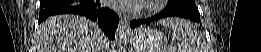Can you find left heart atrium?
<instances>
[{
  "label": "left heart atrium",
  "mask_w": 261,
  "mask_h": 52,
  "mask_svg": "<svg viewBox=\"0 0 261 52\" xmlns=\"http://www.w3.org/2000/svg\"><path fill=\"white\" fill-rule=\"evenodd\" d=\"M145 2L146 0H113L111 4L116 9L135 10Z\"/></svg>",
  "instance_id": "1"
}]
</instances>
